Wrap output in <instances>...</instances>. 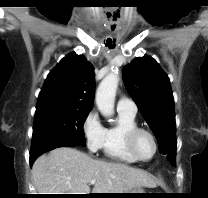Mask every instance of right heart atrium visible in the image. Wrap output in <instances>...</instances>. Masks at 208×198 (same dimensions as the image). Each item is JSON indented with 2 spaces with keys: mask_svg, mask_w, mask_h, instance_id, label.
<instances>
[{
  "mask_svg": "<svg viewBox=\"0 0 208 198\" xmlns=\"http://www.w3.org/2000/svg\"><path fill=\"white\" fill-rule=\"evenodd\" d=\"M82 130L89 151L92 153L99 151L103 146L105 128L95 110L90 111L85 117Z\"/></svg>",
  "mask_w": 208,
  "mask_h": 198,
  "instance_id": "d8ad5b80",
  "label": "right heart atrium"
}]
</instances>
